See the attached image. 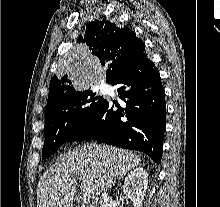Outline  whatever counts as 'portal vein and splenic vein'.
I'll return each instance as SVG.
<instances>
[{"mask_svg": "<svg viewBox=\"0 0 220 207\" xmlns=\"http://www.w3.org/2000/svg\"><path fill=\"white\" fill-rule=\"evenodd\" d=\"M91 194L90 193H85L82 195V200L84 201V203H89L91 201Z\"/></svg>", "mask_w": 220, "mask_h": 207, "instance_id": "portal-vein-and-splenic-vein-1", "label": "portal vein and splenic vein"}]
</instances>
